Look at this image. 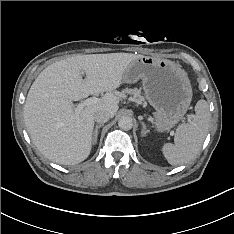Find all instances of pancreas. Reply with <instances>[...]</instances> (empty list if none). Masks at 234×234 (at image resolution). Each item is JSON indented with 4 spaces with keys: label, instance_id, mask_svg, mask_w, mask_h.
<instances>
[{
    "label": "pancreas",
    "instance_id": "pancreas-1",
    "mask_svg": "<svg viewBox=\"0 0 234 234\" xmlns=\"http://www.w3.org/2000/svg\"><path fill=\"white\" fill-rule=\"evenodd\" d=\"M122 93L131 94L138 101V103H143L144 105H146L145 98L141 94V90L137 88H133V89L126 88L122 91Z\"/></svg>",
    "mask_w": 234,
    "mask_h": 234
}]
</instances>
